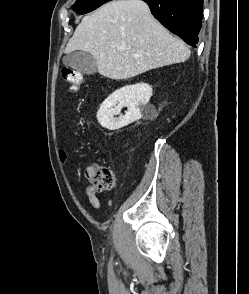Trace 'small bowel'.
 Returning a JSON list of instances; mask_svg holds the SVG:
<instances>
[{
	"instance_id": "c3829d8e",
	"label": "small bowel",
	"mask_w": 249,
	"mask_h": 294,
	"mask_svg": "<svg viewBox=\"0 0 249 294\" xmlns=\"http://www.w3.org/2000/svg\"><path fill=\"white\" fill-rule=\"evenodd\" d=\"M58 157L61 163H66L68 155L67 152L64 149H59L58 151ZM85 193L87 195L88 201L91 204V206L95 209L100 210L102 208V203L100 199L97 196V192L95 188L92 186H86Z\"/></svg>"
}]
</instances>
